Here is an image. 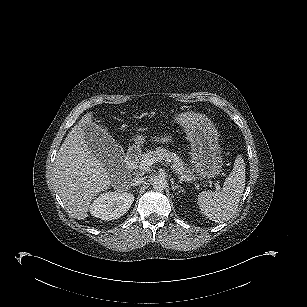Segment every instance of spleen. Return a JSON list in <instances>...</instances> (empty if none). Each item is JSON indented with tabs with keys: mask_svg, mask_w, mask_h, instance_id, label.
Returning a JSON list of instances; mask_svg holds the SVG:
<instances>
[{
	"mask_svg": "<svg viewBox=\"0 0 307 307\" xmlns=\"http://www.w3.org/2000/svg\"><path fill=\"white\" fill-rule=\"evenodd\" d=\"M245 163L239 155L221 191H203L198 197L200 212L208 219L222 223L237 211L245 188Z\"/></svg>",
	"mask_w": 307,
	"mask_h": 307,
	"instance_id": "3e777b00",
	"label": "spleen"
}]
</instances>
